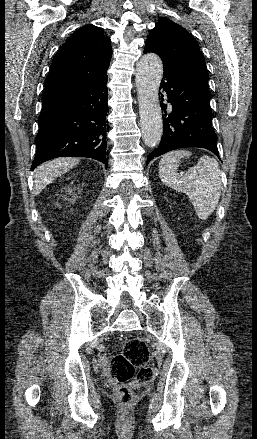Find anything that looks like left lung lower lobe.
Instances as JSON below:
<instances>
[{"label": "left lung lower lobe", "instance_id": "0a47b994", "mask_svg": "<svg viewBox=\"0 0 257 439\" xmlns=\"http://www.w3.org/2000/svg\"><path fill=\"white\" fill-rule=\"evenodd\" d=\"M160 90L161 101L167 96L172 109L167 111L166 104L161 105L164 113L163 136L159 146L148 155L147 164L164 153L187 147L210 150L220 159L217 136L212 127L210 97L167 69H164Z\"/></svg>", "mask_w": 257, "mask_h": 439}]
</instances>
